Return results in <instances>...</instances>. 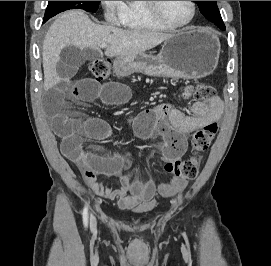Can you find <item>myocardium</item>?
<instances>
[{"instance_id": "obj_1", "label": "myocardium", "mask_w": 271, "mask_h": 266, "mask_svg": "<svg viewBox=\"0 0 271 266\" xmlns=\"http://www.w3.org/2000/svg\"><path fill=\"white\" fill-rule=\"evenodd\" d=\"M145 3V8L148 11V13L151 15V17L157 21L158 23H160L161 25H163L164 27L168 28V29H184L189 27L196 16V4L194 1H189L190 5H191V16L189 18V20L183 24H174L172 22H170L169 20H167L161 13L160 11V7H159V1H144Z\"/></svg>"}]
</instances>
